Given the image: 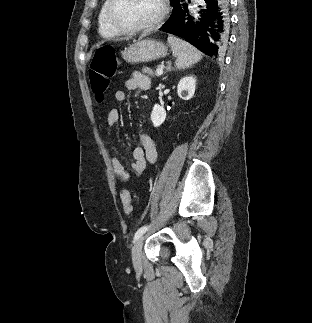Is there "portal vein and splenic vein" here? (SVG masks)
Masks as SVG:
<instances>
[{"mask_svg": "<svg viewBox=\"0 0 312 323\" xmlns=\"http://www.w3.org/2000/svg\"><path fill=\"white\" fill-rule=\"evenodd\" d=\"M156 72H157L156 76H162L163 68H158V70H156Z\"/></svg>", "mask_w": 312, "mask_h": 323, "instance_id": "18ae733b", "label": "portal vein and splenic vein"}]
</instances>
